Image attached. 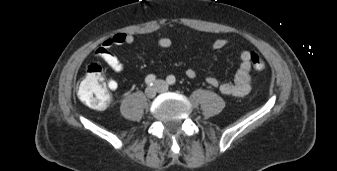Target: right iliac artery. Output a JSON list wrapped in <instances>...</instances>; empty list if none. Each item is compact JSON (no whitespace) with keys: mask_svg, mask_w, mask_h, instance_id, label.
I'll use <instances>...</instances> for the list:
<instances>
[{"mask_svg":"<svg viewBox=\"0 0 337 171\" xmlns=\"http://www.w3.org/2000/svg\"><path fill=\"white\" fill-rule=\"evenodd\" d=\"M145 82L147 85L152 86L155 82V75L150 74L145 78Z\"/></svg>","mask_w":337,"mask_h":171,"instance_id":"obj_1","label":"right iliac artery"}]
</instances>
